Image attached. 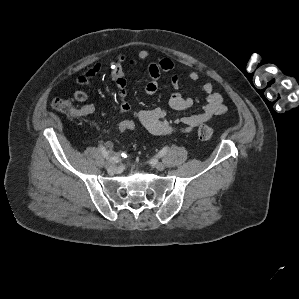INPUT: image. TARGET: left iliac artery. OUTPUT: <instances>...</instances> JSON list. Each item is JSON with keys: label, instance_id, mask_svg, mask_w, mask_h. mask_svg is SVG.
Returning <instances> with one entry per match:
<instances>
[{"label": "left iliac artery", "instance_id": "1", "mask_svg": "<svg viewBox=\"0 0 299 299\" xmlns=\"http://www.w3.org/2000/svg\"><path fill=\"white\" fill-rule=\"evenodd\" d=\"M169 148L168 147H164L160 150V152L158 153L159 157L164 156L167 152H168Z\"/></svg>", "mask_w": 299, "mask_h": 299}]
</instances>
